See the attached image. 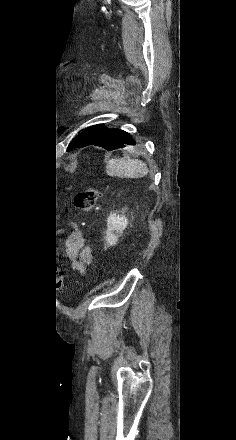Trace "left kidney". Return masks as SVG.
Wrapping results in <instances>:
<instances>
[{"label": "left kidney", "mask_w": 236, "mask_h": 440, "mask_svg": "<svg viewBox=\"0 0 236 440\" xmlns=\"http://www.w3.org/2000/svg\"><path fill=\"white\" fill-rule=\"evenodd\" d=\"M128 225V219L125 215L110 213L107 218L106 243L108 246L116 245L118 238Z\"/></svg>", "instance_id": "left-kidney-1"}]
</instances>
